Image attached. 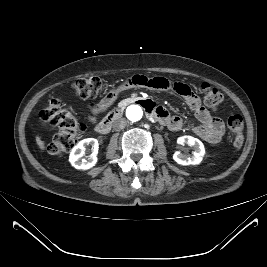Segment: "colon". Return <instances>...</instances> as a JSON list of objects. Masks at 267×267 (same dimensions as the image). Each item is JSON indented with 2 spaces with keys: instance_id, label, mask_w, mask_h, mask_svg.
<instances>
[{
  "instance_id": "5ec220e1",
  "label": "colon",
  "mask_w": 267,
  "mask_h": 267,
  "mask_svg": "<svg viewBox=\"0 0 267 267\" xmlns=\"http://www.w3.org/2000/svg\"><path fill=\"white\" fill-rule=\"evenodd\" d=\"M105 87V81L97 76L80 78L72 84L74 95L85 100L96 98ZM201 92L204 104L211 109H217L224 102L222 93L207 83L201 85ZM40 117L56 128V133L48 145L47 151L54 156H62L69 152L82 131V124L78 119L59 99L50 100L42 108ZM227 126L234 135V147L241 148L244 142L243 118L238 114H233L228 117Z\"/></svg>"
}]
</instances>
